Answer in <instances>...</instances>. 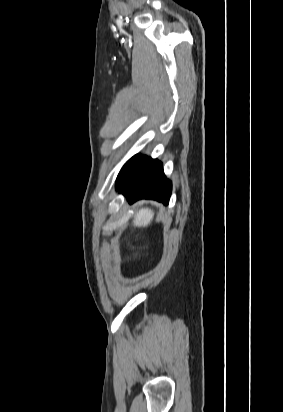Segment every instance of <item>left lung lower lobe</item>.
Wrapping results in <instances>:
<instances>
[{
  "mask_svg": "<svg viewBox=\"0 0 283 412\" xmlns=\"http://www.w3.org/2000/svg\"><path fill=\"white\" fill-rule=\"evenodd\" d=\"M116 189L125 195L130 203L145 198L167 205L172 185L164 175L162 163L144 156L126 182H116Z\"/></svg>",
  "mask_w": 283,
  "mask_h": 412,
  "instance_id": "0a47b994",
  "label": "left lung lower lobe"
}]
</instances>
